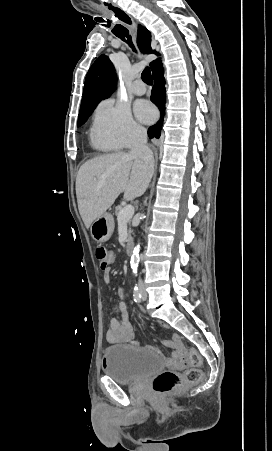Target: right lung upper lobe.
I'll list each match as a JSON object with an SVG mask.
<instances>
[{
  "mask_svg": "<svg viewBox=\"0 0 272 451\" xmlns=\"http://www.w3.org/2000/svg\"><path fill=\"white\" fill-rule=\"evenodd\" d=\"M150 41V32L139 26L137 43L143 53H156L152 51ZM160 62V59L151 62V70ZM115 83L116 74L112 62L106 55L99 56L87 73L80 110L95 108L101 100L108 98L114 91Z\"/></svg>",
  "mask_w": 272,
  "mask_h": 451,
  "instance_id": "obj_1",
  "label": "right lung upper lobe"
}]
</instances>
